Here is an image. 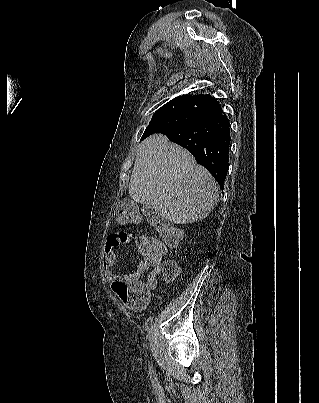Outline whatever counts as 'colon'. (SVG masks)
Masks as SVG:
<instances>
[{"label":"colon","instance_id":"1","mask_svg":"<svg viewBox=\"0 0 319 403\" xmlns=\"http://www.w3.org/2000/svg\"><path fill=\"white\" fill-rule=\"evenodd\" d=\"M114 216L118 222L138 224L141 220V211L134 203L133 197H122L121 205L116 208ZM147 220L158 234H152L150 229H143L138 236L139 248L137 250L140 251V254H145L148 259L157 261L164 277L172 280L178 275L179 268L174 262H166L160 266L161 254H165L167 246L177 245L181 234L174 226L156 214L149 213ZM156 281V275L149 277L148 285H151V291L154 289Z\"/></svg>","mask_w":319,"mask_h":403}]
</instances>
